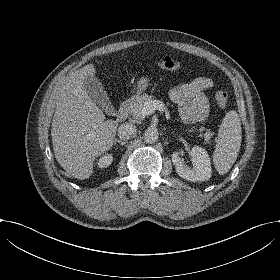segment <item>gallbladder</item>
Returning <instances> with one entry per match:
<instances>
[{"label":"gallbladder","instance_id":"bac80fb5","mask_svg":"<svg viewBox=\"0 0 280 280\" xmlns=\"http://www.w3.org/2000/svg\"><path fill=\"white\" fill-rule=\"evenodd\" d=\"M88 97L102 108L109 116L117 115V111L113 107L107 92L104 90L102 83L95 77L88 76L84 80Z\"/></svg>","mask_w":280,"mask_h":280}]
</instances>
